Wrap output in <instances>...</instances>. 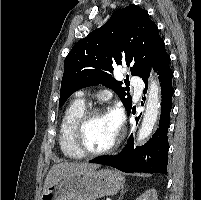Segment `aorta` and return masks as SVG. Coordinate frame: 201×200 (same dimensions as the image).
Segmentation results:
<instances>
[{
    "instance_id": "762f6f07",
    "label": "aorta",
    "mask_w": 201,
    "mask_h": 200,
    "mask_svg": "<svg viewBox=\"0 0 201 200\" xmlns=\"http://www.w3.org/2000/svg\"><path fill=\"white\" fill-rule=\"evenodd\" d=\"M160 109V86L152 76L149 83L146 110L138 133V141L146 139L153 131Z\"/></svg>"
}]
</instances>
